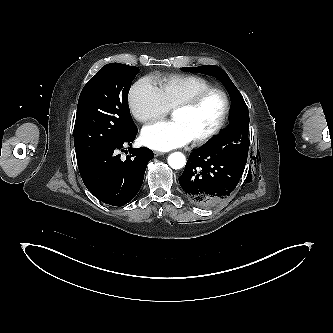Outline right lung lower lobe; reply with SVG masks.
<instances>
[{
  "label": "right lung lower lobe",
  "instance_id": "obj_1",
  "mask_svg": "<svg viewBox=\"0 0 333 333\" xmlns=\"http://www.w3.org/2000/svg\"><path fill=\"white\" fill-rule=\"evenodd\" d=\"M137 132L136 128L123 140L77 161L87 189L106 204L124 206L136 196L142 185L146 166L153 158V152L146 147L129 148L130 155L124 161L117 154L125 145L131 146Z\"/></svg>",
  "mask_w": 333,
  "mask_h": 333
}]
</instances>
